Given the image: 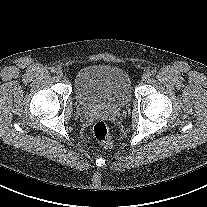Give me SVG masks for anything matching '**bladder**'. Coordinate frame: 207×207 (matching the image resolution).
I'll return each mask as SVG.
<instances>
[{
	"label": "bladder",
	"mask_w": 207,
	"mask_h": 207,
	"mask_svg": "<svg viewBox=\"0 0 207 207\" xmlns=\"http://www.w3.org/2000/svg\"><path fill=\"white\" fill-rule=\"evenodd\" d=\"M77 101L87 108H120L132 97L129 74L112 65H90L79 70L74 79Z\"/></svg>",
	"instance_id": "obj_1"
}]
</instances>
